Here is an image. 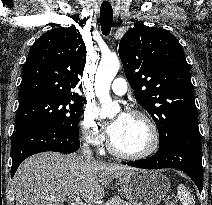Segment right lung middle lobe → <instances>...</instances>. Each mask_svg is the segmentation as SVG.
Returning a JSON list of instances; mask_svg holds the SVG:
<instances>
[{
  "label": "right lung middle lobe",
  "mask_w": 212,
  "mask_h": 205,
  "mask_svg": "<svg viewBox=\"0 0 212 205\" xmlns=\"http://www.w3.org/2000/svg\"><path fill=\"white\" fill-rule=\"evenodd\" d=\"M83 99L35 95L20 99L15 129L47 124L79 137L78 121Z\"/></svg>",
  "instance_id": "dd1d6c3e"
}]
</instances>
